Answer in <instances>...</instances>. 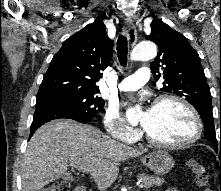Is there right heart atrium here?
Here are the masks:
<instances>
[{
    "mask_svg": "<svg viewBox=\"0 0 221 191\" xmlns=\"http://www.w3.org/2000/svg\"><path fill=\"white\" fill-rule=\"evenodd\" d=\"M103 124L108 135L121 142L134 143L140 136L138 130L124 123L114 108L106 109Z\"/></svg>",
    "mask_w": 221,
    "mask_h": 191,
    "instance_id": "1",
    "label": "right heart atrium"
}]
</instances>
